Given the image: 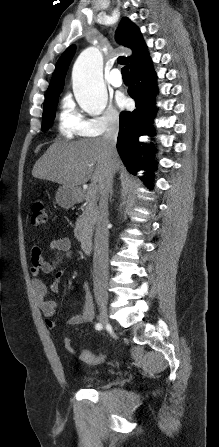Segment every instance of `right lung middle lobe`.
Segmentation results:
<instances>
[{"label": "right lung middle lobe", "mask_w": 219, "mask_h": 447, "mask_svg": "<svg viewBox=\"0 0 219 447\" xmlns=\"http://www.w3.org/2000/svg\"><path fill=\"white\" fill-rule=\"evenodd\" d=\"M60 94V93H59ZM59 94L50 96L44 101V111L42 115V130H47L53 122Z\"/></svg>", "instance_id": "obj_1"}]
</instances>
